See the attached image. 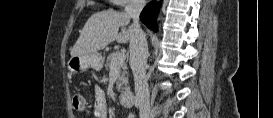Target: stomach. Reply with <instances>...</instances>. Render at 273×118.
<instances>
[{"instance_id":"stomach-1","label":"stomach","mask_w":273,"mask_h":118,"mask_svg":"<svg viewBox=\"0 0 273 118\" xmlns=\"http://www.w3.org/2000/svg\"><path fill=\"white\" fill-rule=\"evenodd\" d=\"M104 59V56L98 52L88 55H74L71 56L67 65L72 73L84 72L90 67L100 71L103 68Z\"/></svg>"}]
</instances>
